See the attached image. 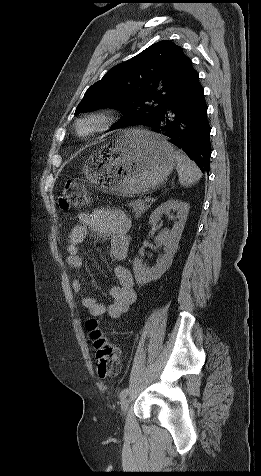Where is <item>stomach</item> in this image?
I'll use <instances>...</instances> for the list:
<instances>
[{"mask_svg":"<svg viewBox=\"0 0 261 476\" xmlns=\"http://www.w3.org/2000/svg\"><path fill=\"white\" fill-rule=\"evenodd\" d=\"M176 165L173 147L148 130L117 133L84 162L82 172L112 194L132 197L157 189Z\"/></svg>","mask_w":261,"mask_h":476,"instance_id":"obj_1","label":"stomach"}]
</instances>
